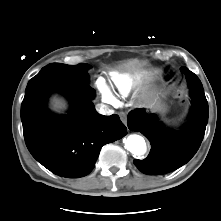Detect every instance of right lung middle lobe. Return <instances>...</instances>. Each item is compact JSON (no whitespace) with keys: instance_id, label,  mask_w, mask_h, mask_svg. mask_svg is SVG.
Returning a JSON list of instances; mask_svg holds the SVG:
<instances>
[{"instance_id":"obj_1","label":"right lung middle lobe","mask_w":221,"mask_h":221,"mask_svg":"<svg viewBox=\"0 0 221 221\" xmlns=\"http://www.w3.org/2000/svg\"><path fill=\"white\" fill-rule=\"evenodd\" d=\"M90 66L85 63L79 65H66L62 63H52L41 69L33 79L56 80L67 84L83 85L88 84Z\"/></svg>"}]
</instances>
